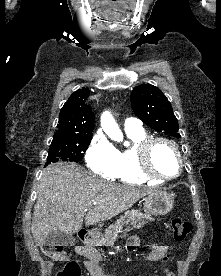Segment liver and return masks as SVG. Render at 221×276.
Listing matches in <instances>:
<instances>
[{
    "label": "liver",
    "instance_id": "1",
    "mask_svg": "<svg viewBox=\"0 0 221 276\" xmlns=\"http://www.w3.org/2000/svg\"><path fill=\"white\" fill-rule=\"evenodd\" d=\"M152 192L98 180L74 163L50 165L42 173L34 206L31 231L36 245L43 246L48 235L57 230L77 233L85 209V220L93 225L111 219Z\"/></svg>",
    "mask_w": 221,
    "mask_h": 276
}]
</instances>
